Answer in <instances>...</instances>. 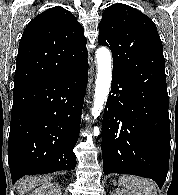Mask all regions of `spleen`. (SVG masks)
Wrapping results in <instances>:
<instances>
[{
    "label": "spleen",
    "instance_id": "obj_1",
    "mask_svg": "<svg viewBox=\"0 0 178 195\" xmlns=\"http://www.w3.org/2000/svg\"><path fill=\"white\" fill-rule=\"evenodd\" d=\"M118 182L119 185L131 191L132 195H157L156 185L152 180L124 175L119 177Z\"/></svg>",
    "mask_w": 178,
    "mask_h": 195
}]
</instances>
